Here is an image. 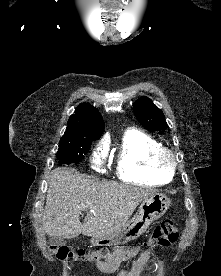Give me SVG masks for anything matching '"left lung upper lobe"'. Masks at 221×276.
<instances>
[{"label": "left lung upper lobe", "mask_w": 221, "mask_h": 276, "mask_svg": "<svg viewBox=\"0 0 221 276\" xmlns=\"http://www.w3.org/2000/svg\"><path fill=\"white\" fill-rule=\"evenodd\" d=\"M134 113L137 120L150 131H157L163 134L168 125L161 109L147 97H141L134 105Z\"/></svg>", "instance_id": "left-lung-upper-lobe-1"}]
</instances>
